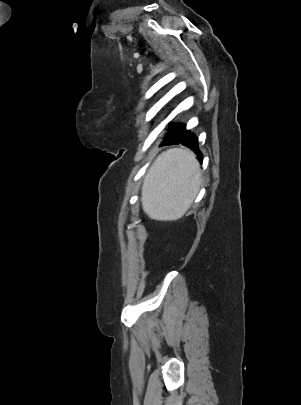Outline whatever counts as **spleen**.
Masks as SVG:
<instances>
[{"mask_svg":"<svg viewBox=\"0 0 301 405\" xmlns=\"http://www.w3.org/2000/svg\"><path fill=\"white\" fill-rule=\"evenodd\" d=\"M200 184L195 155L187 149L168 150L156 159L144 179L143 210L155 220H177L190 208Z\"/></svg>","mask_w":301,"mask_h":405,"instance_id":"spleen-1","label":"spleen"}]
</instances>
